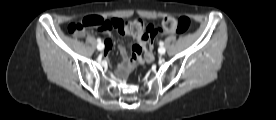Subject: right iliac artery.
I'll use <instances>...</instances> for the list:
<instances>
[{"label":"right iliac artery","instance_id":"right-iliac-artery-1","mask_svg":"<svg viewBox=\"0 0 276 120\" xmlns=\"http://www.w3.org/2000/svg\"><path fill=\"white\" fill-rule=\"evenodd\" d=\"M97 42H98L99 44H102L100 38L97 39Z\"/></svg>","mask_w":276,"mask_h":120}]
</instances>
